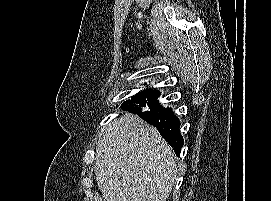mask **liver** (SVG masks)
I'll return each instance as SVG.
<instances>
[{"label": "liver", "mask_w": 271, "mask_h": 201, "mask_svg": "<svg viewBox=\"0 0 271 201\" xmlns=\"http://www.w3.org/2000/svg\"><path fill=\"white\" fill-rule=\"evenodd\" d=\"M94 166L103 201H166L177 180L173 150L135 115L105 126Z\"/></svg>", "instance_id": "obj_1"}]
</instances>
